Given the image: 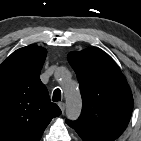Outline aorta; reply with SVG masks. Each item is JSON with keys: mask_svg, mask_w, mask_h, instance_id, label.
<instances>
[{"mask_svg": "<svg viewBox=\"0 0 141 141\" xmlns=\"http://www.w3.org/2000/svg\"><path fill=\"white\" fill-rule=\"evenodd\" d=\"M68 74L66 68H60L56 71L55 76L57 79H63ZM64 94L66 99V115L71 120H76L81 113L82 100L81 95L76 86L69 82L64 86Z\"/></svg>", "mask_w": 141, "mask_h": 141, "instance_id": "762f6f07", "label": "aorta"}]
</instances>
